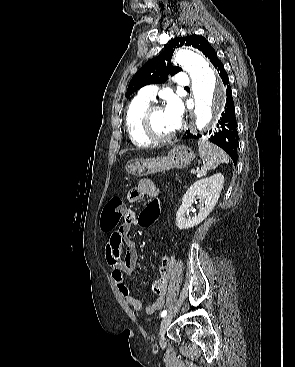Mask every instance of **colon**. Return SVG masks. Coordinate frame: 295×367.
<instances>
[{
	"instance_id": "5ec220e1",
	"label": "colon",
	"mask_w": 295,
	"mask_h": 367,
	"mask_svg": "<svg viewBox=\"0 0 295 367\" xmlns=\"http://www.w3.org/2000/svg\"><path fill=\"white\" fill-rule=\"evenodd\" d=\"M148 203L145 210L141 213L139 222L141 226L148 227L157 221L159 212L164 211L163 197L159 195L148 196ZM127 212L124 202L119 197L111 198L105 205L101 215V228L103 231L109 232L116 228L119 221Z\"/></svg>"
}]
</instances>
